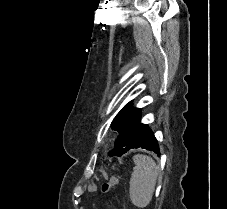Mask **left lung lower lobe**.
Masks as SVG:
<instances>
[{"label":"left lung lower lobe","instance_id":"0a47b994","mask_svg":"<svg viewBox=\"0 0 227 209\" xmlns=\"http://www.w3.org/2000/svg\"><path fill=\"white\" fill-rule=\"evenodd\" d=\"M143 148L150 151H153L157 154L160 153L158 141L156 140L153 132L146 124H140L137 134L133 143L131 144L130 149Z\"/></svg>","mask_w":227,"mask_h":209}]
</instances>
